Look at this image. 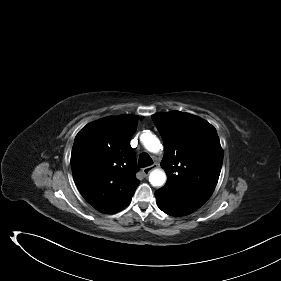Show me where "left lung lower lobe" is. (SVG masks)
Segmentation results:
<instances>
[{
    "mask_svg": "<svg viewBox=\"0 0 281 281\" xmlns=\"http://www.w3.org/2000/svg\"><path fill=\"white\" fill-rule=\"evenodd\" d=\"M157 206L166 214L185 216L199 209L208 199L189 190L162 187L155 192Z\"/></svg>",
    "mask_w": 281,
    "mask_h": 281,
    "instance_id": "0a47b994",
    "label": "left lung lower lobe"
}]
</instances>
